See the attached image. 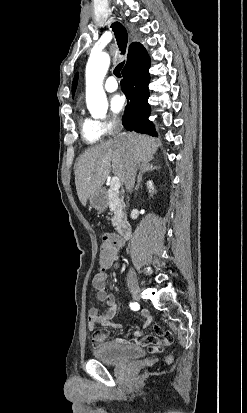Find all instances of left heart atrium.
<instances>
[{"label":"left heart atrium","mask_w":247,"mask_h":413,"mask_svg":"<svg viewBox=\"0 0 247 413\" xmlns=\"http://www.w3.org/2000/svg\"><path fill=\"white\" fill-rule=\"evenodd\" d=\"M124 107L125 100L121 95L116 94L110 98V108L113 112L119 113L124 110Z\"/></svg>","instance_id":"39dd6f15"}]
</instances>
